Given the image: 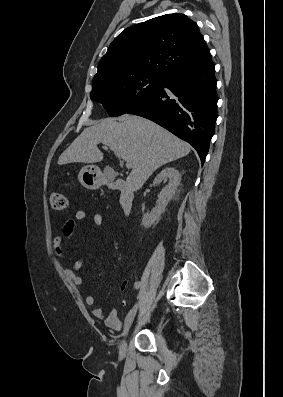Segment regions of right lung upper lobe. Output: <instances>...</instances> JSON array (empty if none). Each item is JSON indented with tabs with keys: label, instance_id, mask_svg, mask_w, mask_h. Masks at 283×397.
Listing matches in <instances>:
<instances>
[{
	"label": "right lung upper lobe",
	"instance_id": "cb5924a9",
	"mask_svg": "<svg viewBox=\"0 0 283 397\" xmlns=\"http://www.w3.org/2000/svg\"><path fill=\"white\" fill-rule=\"evenodd\" d=\"M211 60L197 24L184 14H166L121 32L101 58L93 82L136 76L164 80Z\"/></svg>",
	"mask_w": 283,
	"mask_h": 397
}]
</instances>
